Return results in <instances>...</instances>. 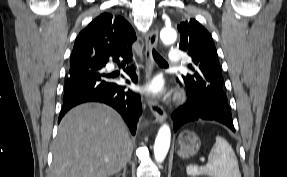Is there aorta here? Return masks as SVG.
<instances>
[{
	"mask_svg": "<svg viewBox=\"0 0 287 177\" xmlns=\"http://www.w3.org/2000/svg\"><path fill=\"white\" fill-rule=\"evenodd\" d=\"M160 38L165 45H170L175 42L177 34L172 28H163L160 32ZM170 142V127L167 124H163L158 131L154 143V158L158 164L164 161L170 147Z\"/></svg>",
	"mask_w": 287,
	"mask_h": 177,
	"instance_id": "aorta-1",
	"label": "aorta"
}]
</instances>
